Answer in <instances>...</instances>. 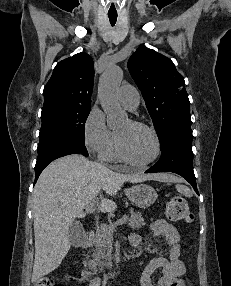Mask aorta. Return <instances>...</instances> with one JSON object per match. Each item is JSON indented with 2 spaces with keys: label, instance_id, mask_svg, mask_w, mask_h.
Masks as SVG:
<instances>
[{
  "label": "aorta",
  "instance_id": "aorta-1",
  "mask_svg": "<svg viewBox=\"0 0 231 286\" xmlns=\"http://www.w3.org/2000/svg\"><path fill=\"white\" fill-rule=\"evenodd\" d=\"M123 78L118 66H111L102 74L98 85V98L107 116V126L115 128L127 119V113L121 108L117 99V90Z\"/></svg>",
  "mask_w": 231,
  "mask_h": 286
}]
</instances>
